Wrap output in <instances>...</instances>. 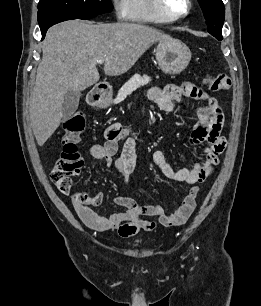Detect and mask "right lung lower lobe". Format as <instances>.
<instances>
[{
	"mask_svg": "<svg viewBox=\"0 0 261 306\" xmlns=\"http://www.w3.org/2000/svg\"><path fill=\"white\" fill-rule=\"evenodd\" d=\"M96 16L97 15H76L63 12L38 11V22L42 33V39H44L48 28L54 24L72 19L88 20Z\"/></svg>",
	"mask_w": 261,
	"mask_h": 306,
	"instance_id": "obj_1",
	"label": "right lung lower lobe"
}]
</instances>
